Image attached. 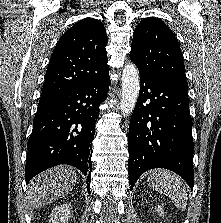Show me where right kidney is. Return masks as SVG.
<instances>
[{
  "mask_svg": "<svg viewBox=\"0 0 221 223\" xmlns=\"http://www.w3.org/2000/svg\"><path fill=\"white\" fill-rule=\"evenodd\" d=\"M71 205L63 204L53 208L49 216L50 223H68L71 216Z\"/></svg>",
  "mask_w": 221,
  "mask_h": 223,
  "instance_id": "1",
  "label": "right kidney"
}]
</instances>
